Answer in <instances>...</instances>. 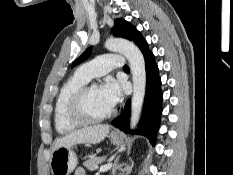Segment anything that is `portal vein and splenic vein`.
<instances>
[{
    "label": "portal vein and splenic vein",
    "mask_w": 233,
    "mask_h": 175,
    "mask_svg": "<svg viewBox=\"0 0 233 175\" xmlns=\"http://www.w3.org/2000/svg\"><path fill=\"white\" fill-rule=\"evenodd\" d=\"M112 167V164L109 162L108 164L102 165L99 169L100 172H106Z\"/></svg>",
    "instance_id": "portal-vein-and-splenic-vein-1"
}]
</instances>
